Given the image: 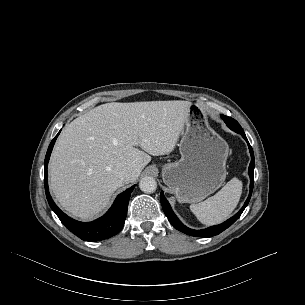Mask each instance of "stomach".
I'll list each match as a JSON object with an SVG mask.
<instances>
[{
	"label": "stomach",
	"instance_id": "1",
	"mask_svg": "<svg viewBox=\"0 0 305 305\" xmlns=\"http://www.w3.org/2000/svg\"><path fill=\"white\" fill-rule=\"evenodd\" d=\"M179 150V161L163 165V181L180 203L200 202L224 183L229 147L197 104L187 111Z\"/></svg>",
	"mask_w": 305,
	"mask_h": 305
}]
</instances>
